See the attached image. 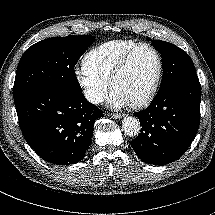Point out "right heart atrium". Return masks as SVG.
<instances>
[{
    "mask_svg": "<svg viewBox=\"0 0 215 215\" xmlns=\"http://www.w3.org/2000/svg\"><path fill=\"white\" fill-rule=\"evenodd\" d=\"M75 81L88 103L99 105L107 99L109 94L108 84L89 75L84 69L75 71Z\"/></svg>",
    "mask_w": 215,
    "mask_h": 215,
    "instance_id": "right-heart-atrium-1",
    "label": "right heart atrium"
}]
</instances>
